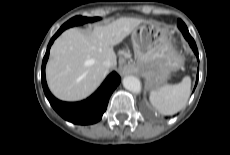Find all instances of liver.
<instances>
[{"label": "liver", "mask_w": 230, "mask_h": 155, "mask_svg": "<svg viewBox=\"0 0 230 155\" xmlns=\"http://www.w3.org/2000/svg\"><path fill=\"white\" fill-rule=\"evenodd\" d=\"M143 22L122 17L96 26L92 32L77 28L64 31L52 45L46 66L51 92L64 101H79L93 93L108 73L104 60H116L113 47Z\"/></svg>", "instance_id": "1"}]
</instances>
